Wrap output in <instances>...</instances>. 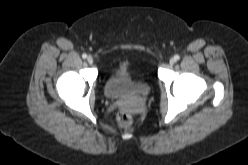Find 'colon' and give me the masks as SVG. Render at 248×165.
I'll return each mask as SVG.
<instances>
[{
    "label": "colon",
    "instance_id": "obj_1",
    "mask_svg": "<svg viewBox=\"0 0 248 165\" xmlns=\"http://www.w3.org/2000/svg\"><path fill=\"white\" fill-rule=\"evenodd\" d=\"M116 121L120 127H128L132 122V116L128 112L121 111L118 113Z\"/></svg>",
    "mask_w": 248,
    "mask_h": 165
}]
</instances>
